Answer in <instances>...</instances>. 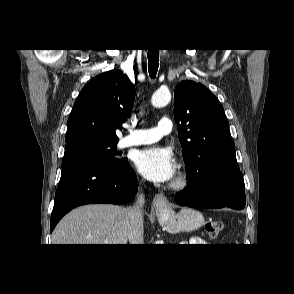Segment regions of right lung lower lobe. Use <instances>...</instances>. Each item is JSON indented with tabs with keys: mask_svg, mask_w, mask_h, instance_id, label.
<instances>
[{
	"mask_svg": "<svg viewBox=\"0 0 294 294\" xmlns=\"http://www.w3.org/2000/svg\"><path fill=\"white\" fill-rule=\"evenodd\" d=\"M137 177L126 162L105 165L80 162L62 168L51 214L50 232L73 208L93 203L123 204L136 194Z\"/></svg>",
	"mask_w": 294,
	"mask_h": 294,
	"instance_id": "98d812e1",
	"label": "right lung lower lobe"
}]
</instances>
